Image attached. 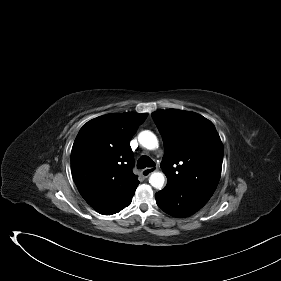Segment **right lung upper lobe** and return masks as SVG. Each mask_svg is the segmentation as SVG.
<instances>
[{
	"instance_id": "1",
	"label": "right lung upper lobe",
	"mask_w": 281,
	"mask_h": 281,
	"mask_svg": "<svg viewBox=\"0 0 281 281\" xmlns=\"http://www.w3.org/2000/svg\"><path fill=\"white\" fill-rule=\"evenodd\" d=\"M147 114H107L87 122L71 153L76 186L98 213L112 215L130 205L139 184L130 140Z\"/></svg>"
}]
</instances>
